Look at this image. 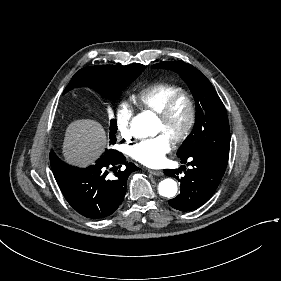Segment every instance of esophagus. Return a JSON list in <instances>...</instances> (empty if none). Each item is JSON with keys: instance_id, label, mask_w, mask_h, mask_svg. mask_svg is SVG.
I'll return each instance as SVG.
<instances>
[{"instance_id": "1", "label": "esophagus", "mask_w": 281, "mask_h": 281, "mask_svg": "<svg viewBox=\"0 0 281 281\" xmlns=\"http://www.w3.org/2000/svg\"><path fill=\"white\" fill-rule=\"evenodd\" d=\"M148 172L155 175V176H163V171H161V170H151V169H149Z\"/></svg>"}]
</instances>
